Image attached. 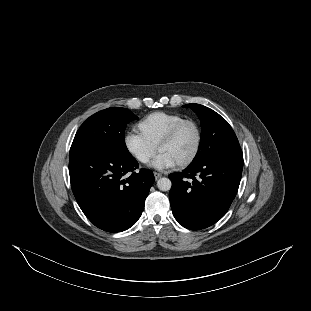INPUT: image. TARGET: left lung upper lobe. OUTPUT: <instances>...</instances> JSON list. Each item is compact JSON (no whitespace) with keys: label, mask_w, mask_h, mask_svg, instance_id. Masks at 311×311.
I'll return each instance as SVG.
<instances>
[{"label":"left lung upper lobe","mask_w":311,"mask_h":311,"mask_svg":"<svg viewBox=\"0 0 311 311\" xmlns=\"http://www.w3.org/2000/svg\"><path fill=\"white\" fill-rule=\"evenodd\" d=\"M201 121V141L191 164L200 163L224 151L241 149L229 123L218 113L199 104H187Z\"/></svg>","instance_id":"obj_1"}]
</instances>
